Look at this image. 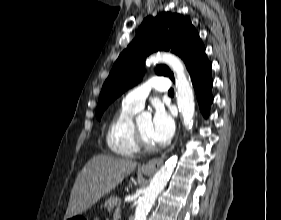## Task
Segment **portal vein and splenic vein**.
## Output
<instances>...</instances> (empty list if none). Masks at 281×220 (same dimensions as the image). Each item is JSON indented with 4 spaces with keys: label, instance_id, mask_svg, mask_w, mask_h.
Masks as SVG:
<instances>
[{
    "label": "portal vein and splenic vein",
    "instance_id": "18ae733b",
    "mask_svg": "<svg viewBox=\"0 0 281 220\" xmlns=\"http://www.w3.org/2000/svg\"><path fill=\"white\" fill-rule=\"evenodd\" d=\"M114 217H120V204L118 205V207L115 210Z\"/></svg>",
    "mask_w": 281,
    "mask_h": 220
}]
</instances>
